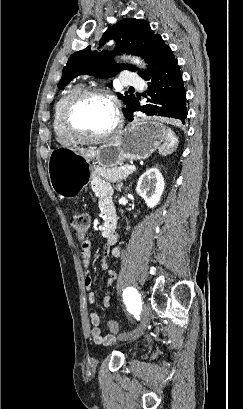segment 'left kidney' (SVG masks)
Masks as SVG:
<instances>
[{
  "mask_svg": "<svg viewBox=\"0 0 243 409\" xmlns=\"http://www.w3.org/2000/svg\"><path fill=\"white\" fill-rule=\"evenodd\" d=\"M164 178L157 168H151L141 175L136 192L145 200L149 208H154L164 191Z\"/></svg>",
  "mask_w": 243,
  "mask_h": 409,
  "instance_id": "obj_1",
  "label": "left kidney"
}]
</instances>
